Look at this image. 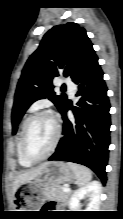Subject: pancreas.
I'll list each match as a JSON object with an SVG mask.
<instances>
[{
	"mask_svg": "<svg viewBox=\"0 0 123 219\" xmlns=\"http://www.w3.org/2000/svg\"><path fill=\"white\" fill-rule=\"evenodd\" d=\"M44 194L47 199H53L60 202L67 201L70 196V193L63 191L62 186H51L45 190Z\"/></svg>",
	"mask_w": 123,
	"mask_h": 219,
	"instance_id": "1",
	"label": "pancreas"
}]
</instances>
